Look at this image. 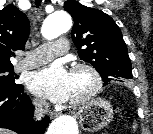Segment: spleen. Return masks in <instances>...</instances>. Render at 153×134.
<instances>
[{
    "mask_svg": "<svg viewBox=\"0 0 153 134\" xmlns=\"http://www.w3.org/2000/svg\"><path fill=\"white\" fill-rule=\"evenodd\" d=\"M135 128H136V125L133 126V129H135Z\"/></svg>",
    "mask_w": 153,
    "mask_h": 134,
    "instance_id": "spleen-1",
    "label": "spleen"
}]
</instances>
